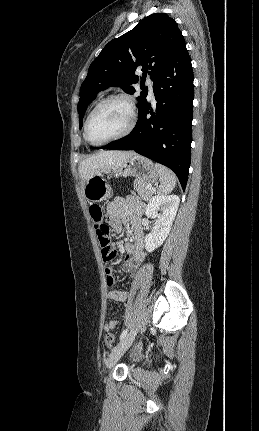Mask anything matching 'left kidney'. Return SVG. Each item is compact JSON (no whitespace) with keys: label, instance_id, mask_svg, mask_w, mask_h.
Wrapping results in <instances>:
<instances>
[{"label":"left kidney","instance_id":"obj_1","mask_svg":"<svg viewBox=\"0 0 259 431\" xmlns=\"http://www.w3.org/2000/svg\"><path fill=\"white\" fill-rule=\"evenodd\" d=\"M180 203L177 195H156L147 204L145 214L147 217L155 218L156 223L151 233L145 237V249L154 251L161 246L167 238L173 221L175 219Z\"/></svg>","mask_w":259,"mask_h":431}]
</instances>
